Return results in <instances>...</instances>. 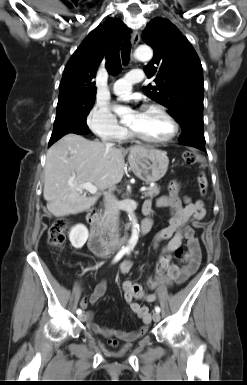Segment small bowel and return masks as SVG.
<instances>
[{"label":"small bowel","instance_id":"obj_1","mask_svg":"<svg viewBox=\"0 0 247 385\" xmlns=\"http://www.w3.org/2000/svg\"><path fill=\"white\" fill-rule=\"evenodd\" d=\"M154 207H168L171 209V216L168 225L161 229L154 238L153 246L159 249L162 257L159 263L168 258L170 261L169 269L166 273H158L157 268L154 277L147 283L148 288H156V292L147 293L139 284L133 282H125L124 298L130 307V310L141 320V326L131 332L119 329L105 327L94 320V314L89 310V306L96 304L105 294L107 290L106 280H101L95 287L94 291L87 297H83L80 306L85 309V317L89 328L108 339L109 344L116 346L118 341L132 342L139 339L148 330L151 324V314L148 306L142 305L135 301L136 298L142 299L148 303L155 302L158 294L165 287L173 284H182L188 280L198 269L201 261L200 244L195 236L194 228L201 227V221L205 217L206 209L202 200H192L189 197L181 199L178 196V184L174 183L170 186L168 196H162L152 202L147 200L143 206L145 215H150ZM187 241V252L181 259V265L171 263V254L178 249L183 240ZM164 243L163 245H161ZM158 263V264H159ZM158 266V265H157ZM132 267L131 261H124L119 272L126 274ZM128 284H134L138 289V294H133L126 289Z\"/></svg>","mask_w":247,"mask_h":385}]
</instances>
